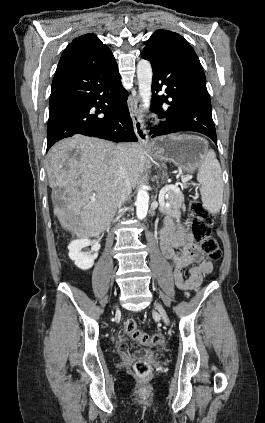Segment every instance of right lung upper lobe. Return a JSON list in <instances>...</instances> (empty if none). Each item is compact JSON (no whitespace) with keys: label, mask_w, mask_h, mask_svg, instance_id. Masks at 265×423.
I'll return each mask as SVG.
<instances>
[{"label":"right lung upper lobe","mask_w":265,"mask_h":423,"mask_svg":"<svg viewBox=\"0 0 265 423\" xmlns=\"http://www.w3.org/2000/svg\"><path fill=\"white\" fill-rule=\"evenodd\" d=\"M113 54L94 34L75 38L64 50L56 74L84 67H108L115 64Z\"/></svg>","instance_id":"1"}]
</instances>
